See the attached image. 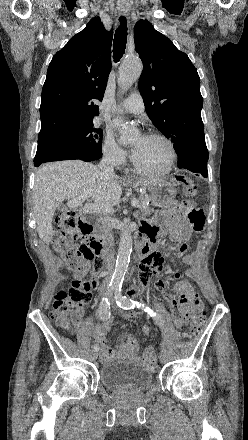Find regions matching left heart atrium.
I'll list each match as a JSON object with an SVG mask.
<instances>
[{
    "label": "left heart atrium",
    "instance_id": "left-heart-atrium-1",
    "mask_svg": "<svg viewBox=\"0 0 248 440\" xmlns=\"http://www.w3.org/2000/svg\"><path fill=\"white\" fill-rule=\"evenodd\" d=\"M140 145H141V140L133 146V149H132V156L133 157L138 153Z\"/></svg>",
    "mask_w": 248,
    "mask_h": 440
}]
</instances>
